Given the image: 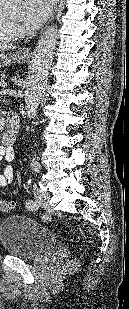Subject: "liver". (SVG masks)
<instances>
[{
  "label": "liver",
  "instance_id": "obj_1",
  "mask_svg": "<svg viewBox=\"0 0 129 309\" xmlns=\"http://www.w3.org/2000/svg\"><path fill=\"white\" fill-rule=\"evenodd\" d=\"M11 49H14V47L12 45H8L6 43H0V51L1 52L9 51Z\"/></svg>",
  "mask_w": 129,
  "mask_h": 309
}]
</instances>
